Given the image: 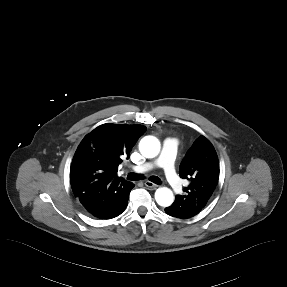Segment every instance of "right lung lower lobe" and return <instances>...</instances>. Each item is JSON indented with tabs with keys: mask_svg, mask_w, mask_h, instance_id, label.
<instances>
[{
	"mask_svg": "<svg viewBox=\"0 0 287 287\" xmlns=\"http://www.w3.org/2000/svg\"><path fill=\"white\" fill-rule=\"evenodd\" d=\"M132 188L133 184L123 178L98 179L87 187L78 200L90 215L99 219H111L124 211Z\"/></svg>",
	"mask_w": 287,
	"mask_h": 287,
	"instance_id": "98d812e1",
	"label": "right lung lower lobe"
}]
</instances>
